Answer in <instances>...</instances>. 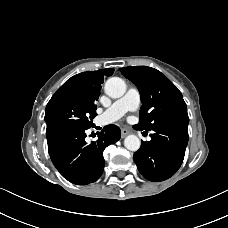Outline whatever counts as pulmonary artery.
<instances>
[{
    "label": "pulmonary artery",
    "instance_id": "1",
    "mask_svg": "<svg viewBox=\"0 0 228 228\" xmlns=\"http://www.w3.org/2000/svg\"><path fill=\"white\" fill-rule=\"evenodd\" d=\"M141 102L140 93L136 88H129L123 97L116 100L96 120L99 125H107L117 121L129 111H135Z\"/></svg>",
    "mask_w": 228,
    "mask_h": 228
}]
</instances>
